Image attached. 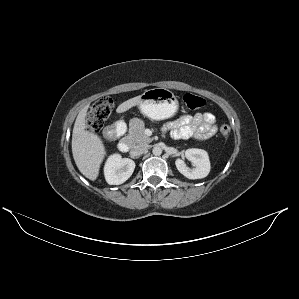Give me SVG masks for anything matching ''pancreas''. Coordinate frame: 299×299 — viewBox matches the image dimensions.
I'll use <instances>...</instances> for the list:
<instances>
[{"instance_id":"pancreas-1","label":"pancreas","mask_w":299,"mask_h":299,"mask_svg":"<svg viewBox=\"0 0 299 299\" xmlns=\"http://www.w3.org/2000/svg\"><path fill=\"white\" fill-rule=\"evenodd\" d=\"M145 125L143 122L135 124L133 121L130 123L129 140L134 144H148L152 142V139L145 135Z\"/></svg>"}]
</instances>
